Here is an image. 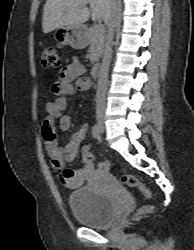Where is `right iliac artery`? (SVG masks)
<instances>
[{
  "label": "right iliac artery",
  "mask_w": 194,
  "mask_h": 250,
  "mask_svg": "<svg viewBox=\"0 0 194 250\" xmlns=\"http://www.w3.org/2000/svg\"><path fill=\"white\" fill-rule=\"evenodd\" d=\"M92 134H93V137H94V138H96V139H99V138H100V129H99L98 124H95V125L92 127Z\"/></svg>",
  "instance_id": "1"
}]
</instances>
